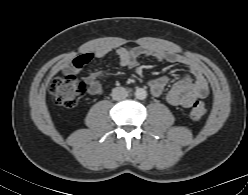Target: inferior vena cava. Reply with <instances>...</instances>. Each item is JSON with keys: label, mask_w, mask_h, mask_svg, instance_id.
<instances>
[{"label": "inferior vena cava", "mask_w": 248, "mask_h": 195, "mask_svg": "<svg viewBox=\"0 0 248 195\" xmlns=\"http://www.w3.org/2000/svg\"><path fill=\"white\" fill-rule=\"evenodd\" d=\"M128 96V91L124 87H116L112 90L114 100H123Z\"/></svg>", "instance_id": "1"}]
</instances>
